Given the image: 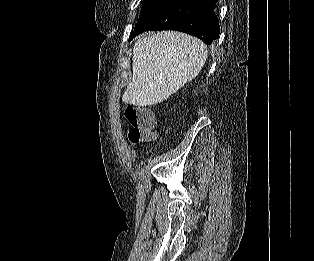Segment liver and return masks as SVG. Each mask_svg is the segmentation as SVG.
Masks as SVG:
<instances>
[{"label": "liver", "instance_id": "obj_1", "mask_svg": "<svg viewBox=\"0 0 314 261\" xmlns=\"http://www.w3.org/2000/svg\"><path fill=\"white\" fill-rule=\"evenodd\" d=\"M206 58L205 44L184 33L140 37L133 48V77L122 100L142 107L161 103L194 79Z\"/></svg>", "mask_w": 314, "mask_h": 261}]
</instances>
